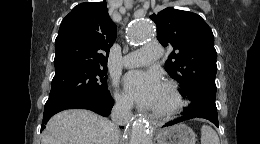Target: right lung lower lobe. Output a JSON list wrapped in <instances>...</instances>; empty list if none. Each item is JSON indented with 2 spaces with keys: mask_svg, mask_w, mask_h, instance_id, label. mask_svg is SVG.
Returning a JSON list of instances; mask_svg holds the SVG:
<instances>
[{
  "mask_svg": "<svg viewBox=\"0 0 260 144\" xmlns=\"http://www.w3.org/2000/svg\"><path fill=\"white\" fill-rule=\"evenodd\" d=\"M113 105L114 100L111 97V95L88 101L70 100L46 104L44 108V116L41 125V130L45 128V124L54 114L62 110L74 108L88 109L102 116H108L111 112Z\"/></svg>",
  "mask_w": 260,
  "mask_h": 144,
  "instance_id": "right-lung-lower-lobe-1",
  "label": "right lung lower lobe"
}]
</instances>
